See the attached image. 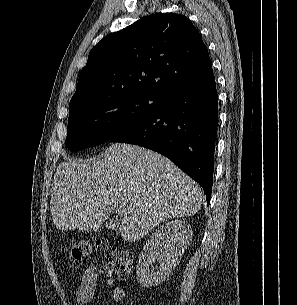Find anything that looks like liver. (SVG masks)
Wrapping results in <instances>:
<instances>
[{
    "label": "liver",
    "instance_id": "obj_1",
    "mask_svg": "<svg viewBox=\"0 0 297 305\" xmlns=\"http://www.w3.org/2000/svg\"><path fill=\"white\" fill-rule=\"evenodd\" d=\"M102 157L57 167L50 212L58 230L96 231L122 206L119 231L124 239L136 241L162 222L201 209L199 185L161 154L116 143Z\"/></svg>",
    "mask_w": 297,
    "mask_h": 305
}]
</instances>
